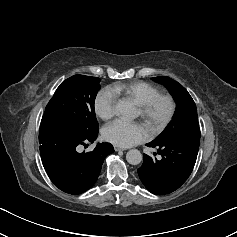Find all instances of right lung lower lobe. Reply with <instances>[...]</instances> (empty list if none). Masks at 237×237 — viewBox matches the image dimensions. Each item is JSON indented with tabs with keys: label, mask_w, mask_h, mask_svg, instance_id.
Instances as JSON below:
<instances>
[{
	"label": "right lung lower lobe",
	"mask_w": 237,
	"mask_h": 237,
	"mask_svg": "<svg viewBox=\"0 0 237 237\" xmlns=\"http://www.w3.org/2000/svg\"><path fill=\"white\" fill-rule=\"evenodd\" d=\"M98 130L88 135H75L68 130L41 125L40 153L44 169L60 190L69 194L87 191L96 182L106 156L114 152L110 143H98L92 152L79 153L78 147L93 143Z\"/></svg>",
	"instance_id": "98d812e1"
}]
</instances>
